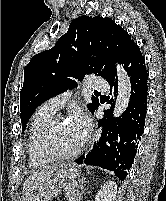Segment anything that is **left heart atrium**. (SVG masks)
Returning a JSON list of instances; mask_svg holds the SVG:
<instances>
[{
  "instance_id": "1",
  "label": "left heart atrium",
  "mask_w": 166,
  "mask_h": 201,
  "mask_svg": "<svg viewBox=\"0 0 166 201\" xmlns=\"http://www.w3.org/2000/svg\"><path fill=\"white\" fill-rule=\"evenodd\" d=\"M70 123L79 135L81 143H84L91 131V119L83 111H75L70 118Z\"/></svg>"
}]
</instances>
